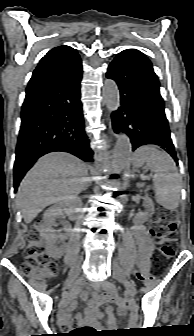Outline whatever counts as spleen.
I'll use <instances>...</instances> for the list:
<instances>
[{
	"label": "spleen",
	"mask_w": 194,
	"mask_h": 336,
	"mask_svg": "<svg viewBox=\"0 0 194 336\" xmlns=\"http://www.w3.org/2000/svg\"><path fill=\"white\" fill-rule=\"evenodd\" d=\"M144 164L155 171L153 182L157 202L168 210H176L180 200L181 178L172 158L154 146H142L134 153L133 165L138 168Z\"/></svg>",
	"instance_id": "spleen-1"
}]
</instances>
